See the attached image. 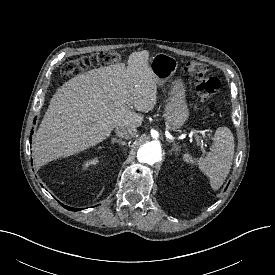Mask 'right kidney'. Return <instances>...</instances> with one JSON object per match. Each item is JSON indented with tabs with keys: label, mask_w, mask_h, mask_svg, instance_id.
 <instances>
[{
	"label": "right kidney",
	"mask_w": 275,
	"mask_h": 275,
	"mask_svg": "<svg viewBox=\"0 0 275 275\" xmlns=\"http://www.w3.org/2000/svg\"><path fill=\"white\" fill-rule=\"evenodd\" d=\"M99 162L98 158H93L91 160H87L85 161L84 165L86 167L90 166V165H96Z\"/></svg>",
	"instance_id": "1"
}]
</instances>
